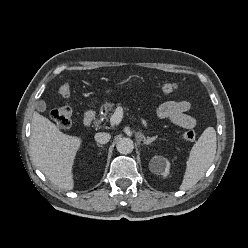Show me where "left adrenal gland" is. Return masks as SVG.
<instances>
[{
	"instance_id": "obj_1",
	"label": "left adrenal gland",
	"mask_w": 248,
	"mask_h": 248,
	"mask_svg": "<svg viewBox=\"0 0 248 248\" xmlns=\"http://www.w3.org/2000/svg\"><path fill=\"white\" fill-rule=\"evenodd\" d=\"M156 138H157V136L147 137V138L143 137L142 141H143L144 144L148 145V144H151L153 141H155Z\"/></svg>"
}]
</instances>
